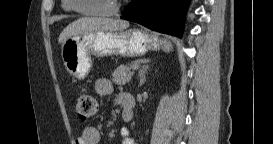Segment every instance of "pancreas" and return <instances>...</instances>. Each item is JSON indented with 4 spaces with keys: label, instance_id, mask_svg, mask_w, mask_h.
I'll return each instance as SVG.
<instances>
[{
    "label": "pancreas",
    "instance_id": "pancreas-1",
    "mask_svg": "<svg viewBox=\"0 0 273 144\" xmlns=\"http://www.w3.org/2000/svg\"><path fill=\"white\" fill-rule=\"evenodd\" d=\"M134 65V63H129L117 67L112 74V81L117 85H125L128 83L133 75L131 70Z\"/></svg>",
    "mask_w": 273,
    "mask_h": 144
}]
</instances>
